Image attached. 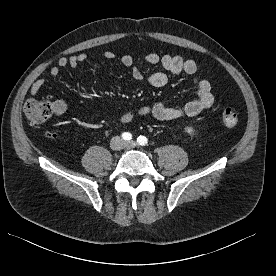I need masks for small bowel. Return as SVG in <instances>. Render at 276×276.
I'll use <instances>...</instances> for the list:
<instances>
[{
  "instance_id": "c3829d8e",
  "label": "small bowel",
  "mask_w": 276,
  "mask_h": 276,
  "mask_svg": "<svg viewBox=\"0 0 276 276\" xmlns=\"http://www.w3.org/2000/svg\"><path fill=\"white\" fill-rule=\"evenodd\" d=\"M106 60H113L115 53L107 50L103 53ZM149 64H160L163 69L172 74H186L193 79L196 87L197 98L186 103L183 107H169L161 103H156L151 106H146L138 109L135 112L129 111L120 117L122 123H128L136 116L152 115L162 121H173L183 116H195L204 109L209 108L214 102V96L211 90V84L206 79H202L197 75L198 66L194 60L185 59L178 55H159L157 53H148L141 58ZM88 60L86 53L70 55L68 57H60L56 66H52L49 73L52 77H57L60 70L67 66L77 69L81 64ZM120 62L125 67H132L131 75L136 81H146L153 87H163L168 83L169 76L164 71H156L148 76H145L141 70L134 66L135 60L131 55H123ZM45 84L43 78L37 79L31 86L30 94L36 96L39 94ZM53 109L57 115L64 113L67 109V104L63 100H55Z\"/></svg>"
}]
</instances>
